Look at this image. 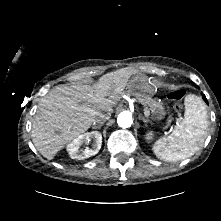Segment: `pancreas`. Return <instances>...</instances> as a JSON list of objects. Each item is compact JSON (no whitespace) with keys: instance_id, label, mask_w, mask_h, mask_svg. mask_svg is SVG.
I'll list each match as a JSON object with an SVG mask.
<instances>
[{"instance_id":"1","label":"pancreas","mask_w":221,"mask_h":221,"mask_svg":"<svg viewBox=\"0 0 221 221\" xmlns=\"http://www.w3.org/2000/svg\"><path fill=\"white\" fill-rule=\"evenodd\" d=\"M138 101L149 108L151 113L158 119H162L163 116L165 115V110L163 103L158 102L155 99H152L149 96H138L137 97Z\"/></svg>"}]
</instances>
